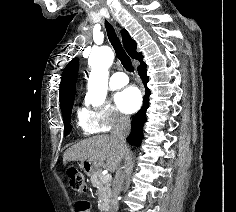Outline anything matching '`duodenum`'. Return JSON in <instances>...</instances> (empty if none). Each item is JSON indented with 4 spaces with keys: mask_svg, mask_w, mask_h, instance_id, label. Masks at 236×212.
<instances>
[{
    "mask_svg": "<svg viewBox=\"0 0 236 212\" xmlns=\"http://www.w3.org/2000/svg\"><path fill=\"white\" fill-rule=\"evenodd\" d=\"M105 211H106V212H110V210H109V209H106Z\"/></svg>",
    "mask_w": 236,
    "mask_h": 212,
    "instance_id": "410a0bca",
    "label": "duodenum"
}]
</instances>
